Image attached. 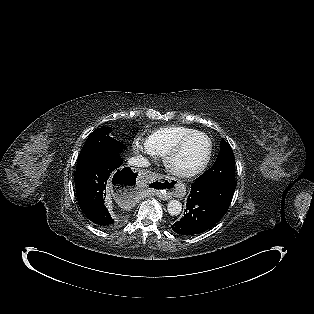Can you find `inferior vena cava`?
<instances>
[{
	"instance_id": "inferior-vena-cava-1",
	"label": "inferior vena cava",
	"mask_w": 314,
	"mask_h": 314,
	"mask_svg": "<svg viewBox=\"0 0 314 314\" xmlns=\"http://www.w3.org/2000/svg\"><path fill=\"white\" fill-rule=\"evenodd\" d=\"M128 164L133 167H148L149 161L142 155H138L129 159Z\"/></svg>"
}]
</instances>
